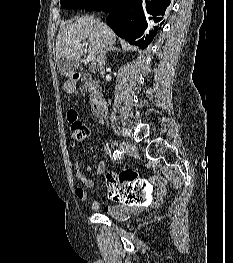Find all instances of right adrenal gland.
<instances>
[{
	"label": "right adrenal gland",
	"mask_w": 233,
	"mask_h": 263,
	"mask_svg": "<svg viewBox=\"0 0 233 263\" xmlns=\"http://www.w3.org/2000/svg\"><path fill=\"white\" fill-rule=\"evenodd\" d=\"M114 44H115V41H110V42H109L108 47H107V49H106V51H105V59H106V55H107V53H108L109 51H114V50L119 51V50H120L119 48L114 47Z\"/></svg>",
	"instance_id": "obj_1"
}]
</instances>
